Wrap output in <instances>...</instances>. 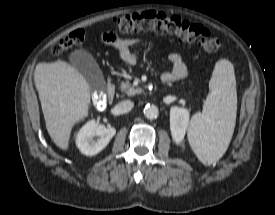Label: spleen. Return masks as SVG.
Here are the masks:
<instances>
[{
	"label": "spleen",
	"instance_id": "1",
	"mask_svg": "<svg viewBox=\"0 0 275 215\" xmlns=\"http://www.w3.org/2000/svg\"><path fill=\"white\" fill-rule=\"evenodd\" d=\"M209 89L202 113L192 116L188 128L190 146L204 165H210L224 155L233 135L237 92L230 61L221 59L216 62Z\"/></svg>",
	"mask_w": 275,
	"mask_h": 215
}]
</instances>
